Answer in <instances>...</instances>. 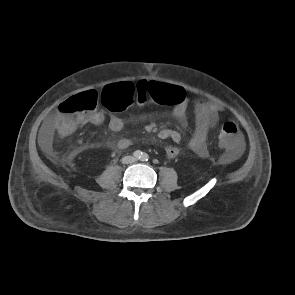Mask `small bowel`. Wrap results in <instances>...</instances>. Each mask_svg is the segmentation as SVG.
I'll use <instances>...</instances> for the list:
<instances>
[{
	"label": "small bowel",
	"mask_w": 295,
	"mask_h": 295,
	"mask_svg": "<svg viewBox=\"0 0 295 295\" xmlns=\"http://www.w3.org/2000/svg\"><path fill=\"white\" fill-rule=\"evenodd\" d=\"M145 82V81H142ZM177 89L178 93L175 97V101L172 109V116L179 119H184L188 108V99L184 89L178 86H173ZM222 112V107L214 102H209L204 99H197L195 102V118L196 128L193 136L188 141L187 146L190 150L201 157L208 156L207 140L209 132L214 128L219 119V114ZM105 120V114L101 111H95L90 113L82 124L99 125ZM56 116L51 117L42 127L39 142L45 151L49 152L52 148V137L55 129ZM109 128L113 132H119L124 128V121L122 118L113 115L109 118ZM158 137L161 140H170L175 144H181L183 139L182 135L173 129H163L159 132ZM131 145V140L128 138H122L117 141V147L119 149H126ZM243 150V144L240 138V142L235 149L227 150V160L233 161L240 156ZM165 153L168 158L174 159L179 153L180 149L177 146L169 145L165 148Z\"/></svg>",
	"instance_id": "obj_1"
}]
</instances>
